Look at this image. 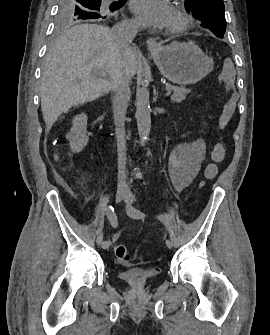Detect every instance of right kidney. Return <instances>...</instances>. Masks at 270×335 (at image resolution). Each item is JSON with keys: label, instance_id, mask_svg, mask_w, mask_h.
Listing matches in <instances>:
<instances>
[{"label": "right kidney", "instance_id": "1", "mask_svg": "<svg viewBox=\"0 0 270 335\" xmlns=\"http://www.w3.org/2000/svg\"><path fill=\"white\" fill-rule=\"evenodd\" d=\"M87 134V116L79 114L72 120V128L69 134H66L67 140L70 142V150L72 152H82L83 148L88 144Z\"/></svg>", "mask_w": 270, "mask_h": 335}]
</instances>
